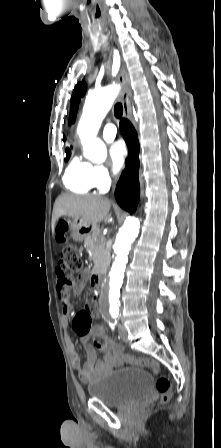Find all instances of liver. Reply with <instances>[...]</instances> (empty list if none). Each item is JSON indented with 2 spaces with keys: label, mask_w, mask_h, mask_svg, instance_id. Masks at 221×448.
I'll list each match as a JSON object with an SVG mask.
<instances>
[{
  "label": "liver",
  "mask_w": 221,
  "mask_h": 448,
  "mask_svg": "<svg viewBox=\"0 0 221 448\" xmlns=\"http://www.w3.org/2000/svg\"><path fill=\"white\" fill-rule=\"evenodd\" d=\"M111 202L101 196H77L71 194L60 195L54 204L52 216V230L55 233L56 221L61 216L82 219L86 224L96 225L107 221Z\"/></svg>",
  "instance_id": "6515ba94"
}]
</instances>
